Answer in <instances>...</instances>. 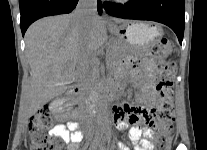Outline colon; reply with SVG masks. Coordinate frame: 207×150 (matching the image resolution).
<instances>
[{"instance_id": "obj_1", "label": "colon", "mask_w": 207, "mask_h": 150, "mask_svg": "<svg viewBox=\"0 0 207 150\" xmlns=\"http://www.w3.org/2000/svg\"><path fill=\"white\" fill-rule=\"evenodd\" d=\"M171 46L167 39L158 41L150 54L159 62L155 79L159 102L147 118V123L156 131L159 150H167L173 130L175 109L173 103L176 65L167 61ZM54 121L49 107H43L29 121L30 150H62L59 141L49 131Z\"/></svg>"}]
</instances>
